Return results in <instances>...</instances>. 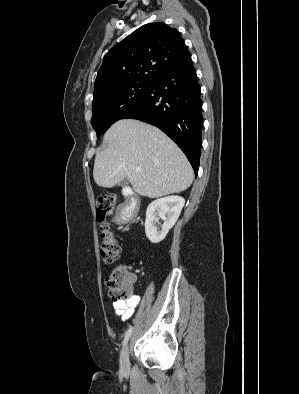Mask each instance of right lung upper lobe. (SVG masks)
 <instances>
[{"mask_svg":"<svg viewBox=\"0 0 299 394\" xmlns=\"http://www.w3.org/2000/svg\"><path fill=\"white\" fill-rule=\"evenodd\" d=\"M188 54L176 29L161 22L145 24L106 53L94 95L128 83H152Z\"/></svg>","mask_w":299,"mask_h":394,"instance_id":"obj_1","label":"right lung upper lobe"}]
</instances>
